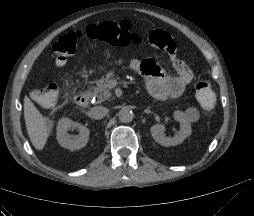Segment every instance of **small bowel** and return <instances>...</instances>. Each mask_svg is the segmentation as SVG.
I'll use <instances>...</instances> for the list:
<instances>
[{
    "label": "small bowel",
    "mask_w": 254,
    "mask_h": 216,
    "mask_svg": "<svg viewBox=\"0 0 254 216\" xmlns=\"http://www.w3.org/2000/svg\"><path fill=\"white\" fill-rule=\"evenodd\" d=\"M148 43L152 48L163 52L165 60L176 74L172 75L164 71L152 60L132 59L130 67L146 75V87L153 97L160 100L180 97L191 83L193 75L190 68L176 52L173 38L166 30H154L148 38Z\"/></svg>",
    "instance_id": "small-bowel-1"
}]
</instances>
